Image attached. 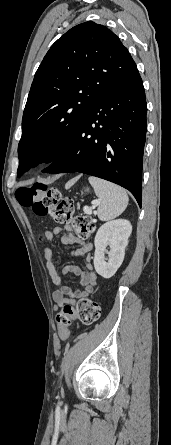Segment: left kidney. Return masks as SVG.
<instances>
[{
	"instance_id": "5707ae66",
	"label": "left kidney",
	"mask_w": 171,
	"mask_h": 445,
	"mask_svg": "<svg viewBox=\"0 0 171 445\" xmlns=\"http://www.w3.org/2000/svg\"><path fill=\"white\" fill-rule=\"evenodd\" d=\"M131 232L132 225L125 219L108 221L98 229L94 240V267L103 278H111L121 266ZM107 246L109 259L105 261Z\"/></svg>"
}]
</instances>
